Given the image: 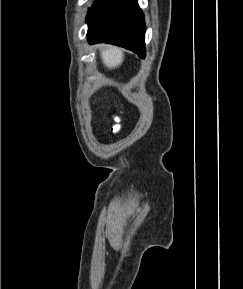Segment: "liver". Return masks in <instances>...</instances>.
I'll return each instance as SVG.
<instances>
[{"label": "liver", "instance_id": "1", "mask_svg": "<svg viewBox=\"0 0 243 289\" xmlns=\"http://www.w3.org/2000/svg\"><path fill=\"white\" fill-rule=\"evenodd\" d=\"M100 55L103 64L109 69L119 67L124 59L122 49L115 46L101 47Z\"/></svg>", "mask_w": 243, "mask_h": 289}]
</instances>
